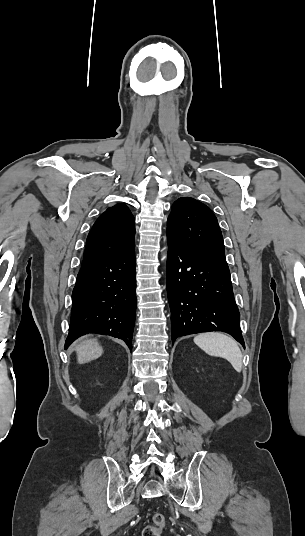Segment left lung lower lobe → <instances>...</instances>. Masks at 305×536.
Returning <instances> with one entry per match:
<instances>
[{
  "label": "left lung lower lobe",
  "instance_id": "left-lung-lower-lobe-1",
  "mask_svg": "<svg viewBox=\"0 0 305 536\" xmlns=\"http://www.w3.org/2000/svg\"><path fill=\"white\" fill-rule=\"evenodd\" d=\"M171 338L208 331L231 334L245 348L226 260L186 251L168 239Z\"/></svg>",
  "mask_w": 305,
  "mask_h": 536
}]
</instances>
